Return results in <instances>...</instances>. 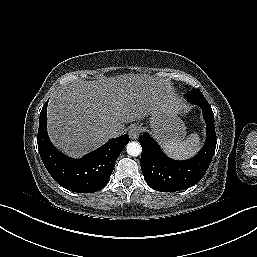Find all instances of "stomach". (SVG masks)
Instances as JSON below:
<instances>
[{
  "label": "stomach",
  "mask_w": 257,
  "mask_h": 257,
  "mask_svg": "<svg viewBox=\"0 0 257 257\" xmlns=\"http://www.w3.org/2000/svg\"><path fill=\"white\" fill-rule=\"evenodd\" d=\"M149 116L150 128L163 145L185 136V125L173 109L161 106L152 111Z\"/></svg>",
  "instance_id": "stomach-1"
}]
</instances>
